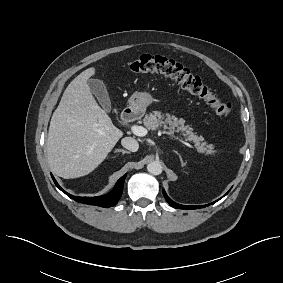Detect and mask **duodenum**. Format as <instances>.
I'll use <instances>...</instances> for the list:
<instances>
[{"mask_svg": "<svg viewBox=\"0 0 283 283\" xmlns=\"http://www.w3.org/2000/svg\"><path fill=\"white\" fill-rule=\"evenodd\" d=\"M138 112L136 108H127L121 115L123 124L131 123L137 118Z\"/></svg>", "mask_w": 283, "mask_h": 283, "instance_id": "410a0bca", "label": "duodenum"}]
</instances>
